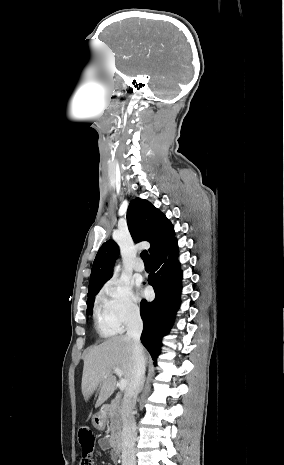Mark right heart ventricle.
Wrapping results in <instances>:
<instances>
[{
	"mask_svg": "<svg viewBox=\"0 0 284 465\" xmlns=\"http://www.w3.org/2000/svg\"><path fill=\"white\" fill-rule=\"evenodd\" d=\"M94 328L99 336H113L117 333L118 329L108 316L106 311L97 307L94 314Z\"/></svg>",
	"mask_w": 284,
	"mask_h": 465,
	"instance_id": "right-heart-ventricle-1",
	"label": "right heart ventricle"
}]
</instances>
